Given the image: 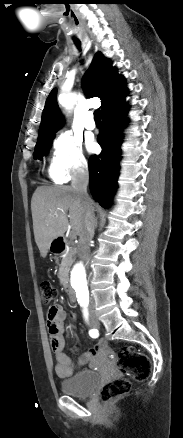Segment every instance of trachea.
Returning a JSON list of instances; mask_svg holds the SVG:
<instances>
[{"mask_svg": "<svg viewBox=\"0 0 183 438\" xmlns=\"http://www.w3.org/2000/svg\"><path fill=\"white\" fill-rule=\"evenodd\" d=\"M76 46H77L78 48H80V43H76ZM94 120H95V121H101L100 110H99V109H97V110L94 111Z\"/></svg>", "mask_w": 183, "mask_h": 438, "instance_id": "trachea-1", "label": "trachea"}]
</instances>
